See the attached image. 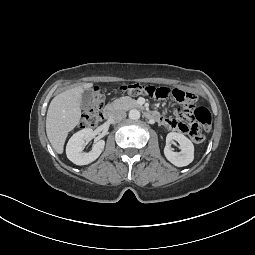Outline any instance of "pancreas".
I'll return each instance as SVG.
<instances>
[{"label": "pancreas", "mask_w": 255, "mask_h": 255, "mask_svg": "<svg viewBox=\"0 0 255 255\" xmlns=\"http://www.w3.org/2000/svg\"><path fill=\"white\" fill-rule=\"evenodd\" d=\"M112 106L117 109L128 110L134 107H138V103L135 99L125 96L115 99L112 103Z\"/></svg>", "instance_id": "obj_1"}]
</instances>
